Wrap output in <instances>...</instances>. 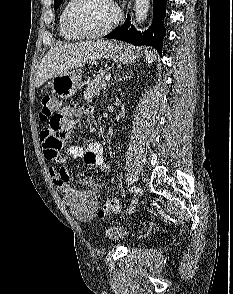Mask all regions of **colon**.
<instances>
[{
	"label": "colon",
	"instance_id": "obj_1",
	"mask_svg": "<svg viewBox=\"0 0 233 294\" xmlns=\"http://www.w3.org/2000/svg\"><path fill=\"white\" fill-rule=\"evenodd\" d=\"M63 108L58 100L53 95H45L42 98V109L40 112V118L44 121L48 120V117H56L52 115V110H61ZM119 209V204L117 199L112 198L106 201L98 210L97 215L99 218H104L105 216L117 212Z\"/></svg>",
	"mask_w": 233,
	"mask_h": 294
}]
</instances>
